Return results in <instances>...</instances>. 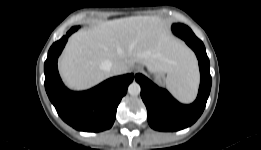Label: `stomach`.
<instances>
[{
	"mask_svg": "<svg viewBox=\"0 0 261 150\" xmlns=\"http://www.w3.org/2000/svg\"><path fill=\"white\" fill-rule=\"evenodd\" d=\"M153 74V76L156 78V79H159L161 80L163 78L162 74L160 73H157V72H151ZM169 75H167L168 77ZM167 81V80H166Z\"/></svg>",
	"mask_w": 261,
	"mask_h": 150,
	"instance_id": "1",
	"label": "stomach"
}]
</instances>
